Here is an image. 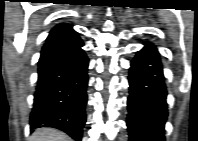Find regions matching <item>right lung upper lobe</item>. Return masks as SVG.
Returning <instances> with one entry per match:
<instances>
[{
  "label": "right lung upper lobe",
  "instance_id": "1",
  "mask_svg": "<svg viewBox=\"0 0 198 141\" xmlns=\"http://www.w3.org/2000/svg\"><path fill=\"white\" fill-rule=\"evenodd\" d=\"M72 32H75V31L72 29L71 25H68L65 23L58 24L50 31V34L46 39V43L55 39H59L62 36L72 33Z\"/></svg>",
  "mask_w": 198,
  "mask_h": 141
}]
</instances>
